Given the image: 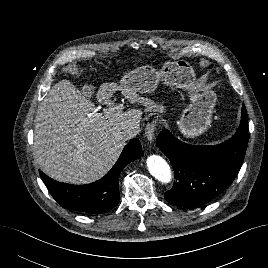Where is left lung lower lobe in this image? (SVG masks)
I'll list each match as a JSON object with an SVG mask.
<instances>
[{
	"mask_svg": "<svg viewBox=\"0 0 268 268\" xmlns=\"http://www.w3.org/2000/svg\"><path fill=\"white\" fill-rule=\"evenodd\" d=\"M247 112L242 106L241 122L227 141L215 145H189L163 130L156 145L169 158L176 181L164 198L180 207H200L221 194L238 174L248 144Z\"/></svg>",
	"mask_w": 268,
	"mask_h": 268,
	"instance_id": "left-lung-lower-lobe-1",
	"label": "left lung lower lobe"
}]
</instances>
